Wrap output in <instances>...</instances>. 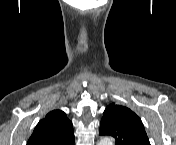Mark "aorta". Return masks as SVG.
Returning <instances> with one entry per match:
<instances>
[{"label": "aorta", "mask_w": 176, "mask_h": 145, "mask_svg": "<svg viewBox=\"0 0 176 145\" xmlns=\"http://www.w3.org/2000/svg\"><path fill=\"white\" fill-rule=\"evenodd\" d=\"M98 145H113V141L109 137H102L99 140Z\"/></svg>", "instance_id": "aorta-1"}]
</instances>
